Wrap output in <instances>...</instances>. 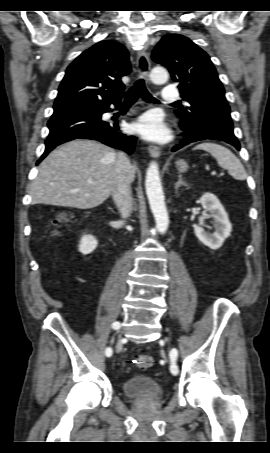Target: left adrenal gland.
Returning a JSON list of instances; mask_svg holds the SVG:
<instances>
[{
    "instance_id": "obj_1",
    "label": "left adrenal gland",
    "mask_w": 270,
    "mask_h": 453,
    "mask_svg": "<svg viewBox=\"0 0 270 453\" xmlns=\"http://www.w3.org/2000/svg\"><path fill=\"white\" fill-rule=\"evenodd\" d=\"M180 186H187V183L182 180V175H178V181L175 184V189L177 190Z\"/></svg>"
}]
</instances>
